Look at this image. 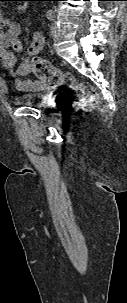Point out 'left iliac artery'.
<instances>
[{
    "label": "left iliac artery",
    "mask_w": 127,
    "mask_h": 303,
    "mask_svg": "<svg viewBox=\"0 0 127 303\" xmlns=\"http://www.w3.org/2000/svg\"><path fill=\"white\" fill-rule=\"evenodd\" d=\"M46 17H47L49 20H53L54 17H55L54 11L51 10V9L47 10V12H46Z\"/></svg>",
    "instance_id": "obj_1"
}]
</instances>
